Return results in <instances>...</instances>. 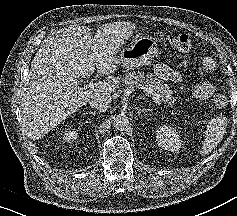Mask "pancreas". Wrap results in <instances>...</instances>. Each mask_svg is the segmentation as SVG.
<instances>
[{
	"instance_id": "obj_1",
	"label": "pancreas",
	"mask_w": 237,
	"mask_h": 216,
	"mask_svg": "<svg viewBox=\"0 0 237 216\" xmlns=\"http://www.w3.org/2000/svg\"><path fill=\"white\" fill-rule=\"evenodd\" d=\"M124 82L128 86L142 89L147 95L156 96L158 94L160 98H171L173 94V91L169 90V87L164 85L162 81L152 75L145 76L143 72L139 71L128 73L124 78Z\"/></svg>"
}]
</instances>
